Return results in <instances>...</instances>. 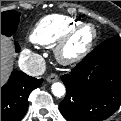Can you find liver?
Returning <instances> with one entry per match:
<instances>
[{"label": "liver", "instance_id": "6515ba94", "mask_svg": "<svg viewBox=\"0 0 121 121\" xmlns=\"http://www.w3.org/2000/svg\"><path fill=\"white\" fill-rule=\"evenodd\" d=\"M13 47L9 39L1 35V86L12 69Z\"/></svg>", "mask_w": 121, "mask_h": 121}]
</instances>
